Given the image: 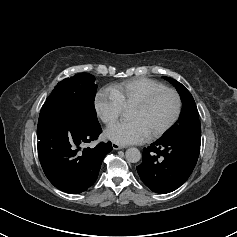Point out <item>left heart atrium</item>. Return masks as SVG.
<instances>
[{"label": "left heart atrium", "mask_w": 237, "mask_h": 237, "mask_svg": "<svg viewBox=\"0 0 237 237\" xmlns=\"http://www.w3.org/2000/svg\"><path fill=\"white\" fill-rule=\"evenodd\" d=\"M106 137L121 145L138 144L149 139V134L138 120L119 122L109 127Z\"/></svg>", "instance_id": "1"}]
</instances>
